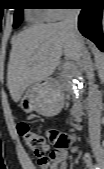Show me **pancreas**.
I'll return each mask as SVG.
<instances>
[{
  "instance_id": "obj_1",
  "label": "pancreas",
  "mask_w": 104,
  "mask_h": 169,
  "mask_svg": "<svg viewBox=\"0 0 104 169\" xmlns=\"http://www.w3.org/2000/svg\"><path fill=\"white\" fill-rule=\"evenodd\" d=\"M71 73H74V74H79V71L76 69L75 72H72V71H69V70H64L62 73H61V78L64 80V81H69L70 80V77H69V74ZM71 92V91H70ZM75 101L76 103H79L81 101V98H75Z\"/></svg>"
}]
</instances>
